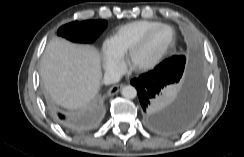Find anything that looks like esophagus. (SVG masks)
Instances as JSON below:
<instances>
[{
	"label": "esophagus",
	"mask_w": 244,
	"mask_h": 157,
	"mask_svg": "<svg viewBox=\"0 0 244 157\" xmlns=\"http://www.w3.org/2000/svg\"><path fill=\"white\" fill-rule=\"evenodd\" d=\"M123 87H124V84H117V85L112 86L108 90V95L112 96V95L117 94Z\"/></svg>",
	"instance_id": "34e87169"
}]
</instances>
